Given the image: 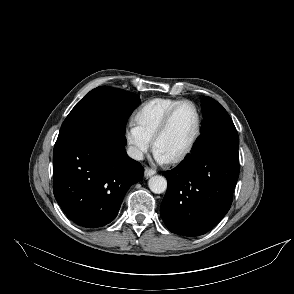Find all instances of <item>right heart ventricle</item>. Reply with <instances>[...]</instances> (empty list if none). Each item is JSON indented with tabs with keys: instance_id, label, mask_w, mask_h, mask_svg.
<instances>
[{
	"instance_id": "right-heart-ventricle-1",
	"label": "right heart ventricle",
	"mask_w": 294,
	"mask_h": 294,
	"mask_svg": "<svg viewBox=\"0 0 294 294\" xmlns=\"http://www.w3.org/2000/svg\"><path fill=\"white\" fill-rule=\"evenodd\" d=\"M181 99L154 98L140 106L135 114V122L151 140L167 112Z\"/></svg>"
}]
</instances>
